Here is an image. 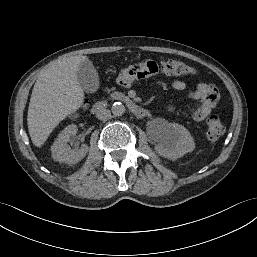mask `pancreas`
Segmentation results:
<instances>
[{"label":"pancreas","mask_w":257,"mask_h":257,"mask_svg":"<svg viewBox=\"0 0 257 257\" xmlns=\"http://www.w3.org/2000/svg\"><path fill=\"white\" fill-rule=\"evenodd\" d=\"M111 98H125V95H123L120 92H114L110 95Z\"/></svg>","instance_id":"1"}]
</instances>
